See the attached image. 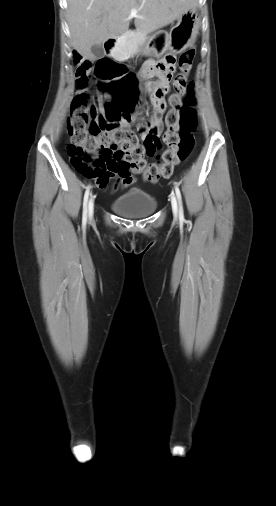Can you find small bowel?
Returning <instances> with one entry per match:
<instances>
[{
    "label": "small bowel",
    "mask_w": 276,
    "mask_h": 506,
    "mask_svg": "<svg viewBox=\"0 0 276 506\" xmlns=\"http://www.w3.org/2000/svg\"><path fill=\"white\" fill-rule=\"evenodd\" d=\"M169 57L162 58L160 60H148L144 63L142 68V77L146 80H148L147 87L149 91L154 90L155 88H161L164 92L163 97L157 100L154 106L153 115L150 121L149 127H147V132H150L154 135L159 136L162 129H163V115L166 110V104L164 101V96L169 92L170 90V78L171 74L174 70V64L171 65L169 70L167 72H163L160 69V65L166 64L167 59ZM77 88V86H76ZM122 127H126L127 123L122 122ZM146 132V133H147ZM146 133L142 134V137L144 138L146 136ZM154 154V153H152ZM151 154V155H152ZM96 186L100 189H104L108 186L109 181L111 179H116V187H128L132 185L136 179L133 177L129 171H127L121 163V160L113 157L110 159V161L107 163L105 172L99 176L94 178Z\"/></svg>",
    "instance_id": "1"
}]
</instances>
